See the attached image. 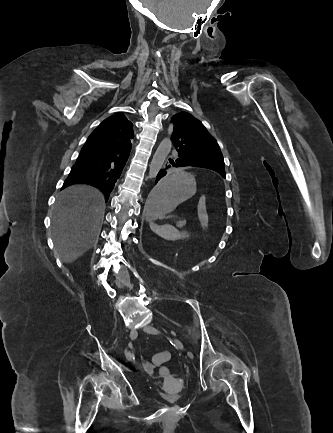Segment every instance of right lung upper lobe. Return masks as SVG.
Segmentation results:
<instances>
[{"mask_svg": "<svg viewBox=\"0 0 333 433\" xmlns=\"http://www.w3.org/2000/svg\"><path fill=\"white\" fill-rule=\"evenodd\" d=\"M133 124L123 114H116L105 119L87 140L95 141V147L104 151L131 146L134 137Z\"/></svg>", "mask_w": 333, "mask_h": 433, "instance_id": "obj_1", "label": "right lung upper lobe"}]
</instances>
